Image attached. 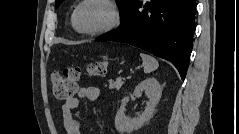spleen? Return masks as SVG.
Masks as SVG:
<instances>
[{"label": "spleen", "mask_w": 239, "mask_h": 134, "mask_svg": "<svg viewBox=\"0 0 239 134\" xmlns=\"http://www.w3.org/2000/svg\"><path fill=\"white\" fill-rule=\"evenodd\" d=\"M140 57L142 58V61H143L142 65L144 68V72L146 74H148L158 68V66H159L158 61L151 55L141 53Z\"/></svg>", "instance_id": "spleen-1"}]
</instances>
